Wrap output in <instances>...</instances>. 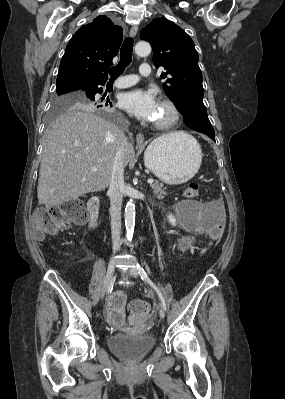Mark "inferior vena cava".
<instances>
[{"label": "inferior vena cava", "mask_w": 285, "mask_h": 399, "mask_svg": "<svg viewBox=\"0 0 285 399\" xmlns=\"http://www.w3.org/2000/svg\"><path fill=\"white\" fill-rule=\"evenodd\" d=\"M127 139L123 134L119 139V146L113 162L111 181L109 186L110 196V217L111 233L113 239V250H119L121 247V205L124 190V166Z\"/></svg>", "instance_id": "602c4592"}]
</instances>
